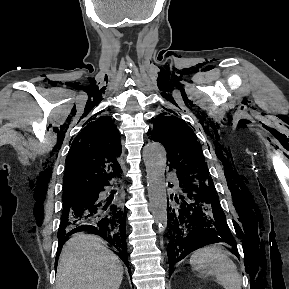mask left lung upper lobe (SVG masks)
I'll return each instance as SVG.
<instances>
[{
	"label": "left lung upper lobe",
	"mask_w": 289,
	"mask_h": 289,
	"mask_svg": "<svg viewBox=\"0 0 289 289\" xmlns=\"http://www.w3.org/2000/svg\"><path fill=\"white\" fill-rule=\"evenodd\" d=\"M151 135L152 140L160 142L167 150L170 170H175L189 181H200L213 186L202 154V146L185 122L162 113L154 121Z\"/></svg>",
	"instance_id": "obj_1"
}]
</instances>
